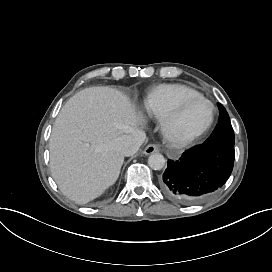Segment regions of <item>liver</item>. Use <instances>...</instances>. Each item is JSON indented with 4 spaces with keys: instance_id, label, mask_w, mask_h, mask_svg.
<instances>
[{
    "instance_id": "6515ba94",
    "label": "liver",
    "mask_w": 272,
    "mask_h": 272,
    "mask_svg": "<svg viewBox=\"0 0 272 272\" xmlns=\"http://www.w3.org/2000/svg\"><path fill=\"white\" fill-rule=\"evenodd\" d=\"M137 122L128 98L109 87L86 88L70 98L49 142L52 177L62 193L86 204L113 186L125 159L116 142Z\"/></svg>"
}]
</instances>
